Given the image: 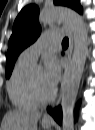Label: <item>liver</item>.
<instances>
[{
	"instance_id": "liver-1",
	"label": "liver",
	"mask_w": 95,
	"mask_h": 130,
	"mask_svg": "<svg viewBox=\"0 0 95 130\" xmlns=\"http://www.w3.org/2000/svg\"><path fill=\"white\" fill-rule=\"evenodd\" d=\"M41 115L38 111H8L3 118L2 130H37Z\"/></svg>"
}]
</instances>
